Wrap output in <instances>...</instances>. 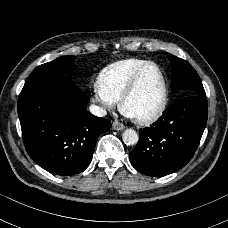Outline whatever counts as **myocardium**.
<instances>
[{"label": "myocardium", "mask_w": 228, "mask_h": 228, "mask_svg": "<svg viewBox=\"0 0 228 228\" xmlns=\"http://www.w3.org/2000/svg\"><path fill=\"white\" fill-rule=\"evenodd\" d=\"M150 68L157 69L161 75L162 82H163V102H162L160 108L154 114H152L148 117H145V118H136V117L131 116L127 112L126 105H127L128 100L137 91L143 75ZM168 103H169V88H168V81H167L166 74L159 64L152 62V63L145 65L144 67H142L141 69H139L136 72V74L132 78L129 86L127 87L126 91L124 92V94L122 95V97L120 99V110L126 117L130 118L135 123L140 124V125H149V124L157 122L159 119L162 118V116L165 114V112L168 108Z\"/></svg>", "instance_id": "1"}]
</instances>
